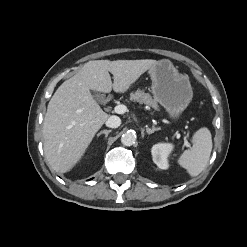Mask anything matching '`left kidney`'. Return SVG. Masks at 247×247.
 <instances>
[{"label":"left kidney","mask_w":247,"mask_h":247,"mask_svg":"<svg viewBox=\"0 0 247 247\" xmlns=\"http://www.w3.org/2000/svg\"><path fill=\"white\" fill-rule=\"evenodd\" d=\"M172 150L173 145L170 143L155 144L151 149L153 162L160 169H168L169 163L167 158Z\"/></svg>","instance_id":"left-kidney-1"}]
</instances>
